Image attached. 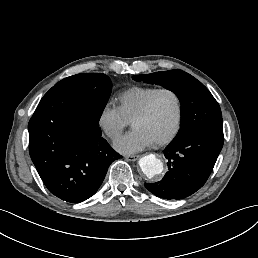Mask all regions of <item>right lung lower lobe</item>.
I'll return each instance as SVG.
<instances>
[{"instance_id": "98d812e1", "label": "right lung lower lobe", "mask_w": 258, "mask_h": 258, "mask_svg": "<svg viewBox=\"0 0 258 258\" xmlns=\"http://www.w3.org/2000/svg\"><path fill=\"white\" fill-rule=\"evenodd\" d=\"M88 96L83 87L72 85L49 90L28 124L29 152L42 181L71 203L94 195L110 164L122 158L101 137Z\"/></svg>"}]
</instances>
